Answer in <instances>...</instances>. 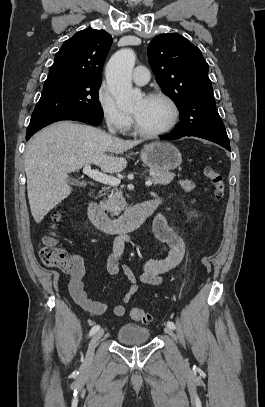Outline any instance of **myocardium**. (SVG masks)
<instances>
[{"label":"myocardium","mask_w":265,"mask_h":407,"mask_svg":"<svg viewBox=\"0 0 265 407\" xmlns=\"http://www.w3.org/2000/svg\"><path fill=\"white\" fill-rule=\"evenodd\" d=\"M145 99H159L162 100L164 102H166L170 109H171V120L170 122L162 129L160 130H156V131H146L141 129L134 116L132 115V128L133 131L139 135L140 137H144V138H157V137H161L164 136L168 133H170L178 124L179 118H180V109L178 104L176 103V101L169 96L168 94H165L163 92H151L148 93L147 95L144 96Z\"/></svg>","instance_id":"1"}]
</instances>
